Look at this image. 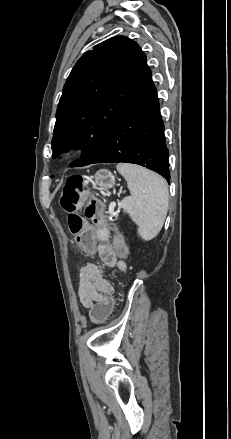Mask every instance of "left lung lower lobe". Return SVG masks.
Here are the masks:
<instances>
[{"instance_id": "left-lung-lower-lobe-1", "label": "left lung lower lobe", "mask_w": 231, "mask_h": 439, "mask_svg": "<svg viewBox=\"0 0 231 439\" xmlns=\"http://www.w3.org/2000/svg\"><path fill=\"white\" fill-rule=\"evenodd\" d=\"M151 75L149 71L139 91L124 109L89 164H138L159 173L169 182V155L164 124Z\"/></svg>"}]
</instances>
